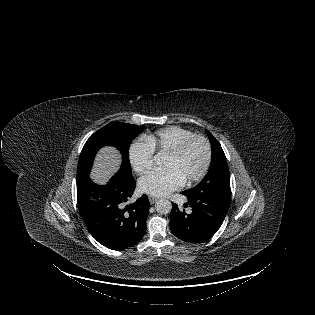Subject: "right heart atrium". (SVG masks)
Wrapping results in <instances>:
<instances>
[{"label":"right heart atrium","instance_id":"1","mask_svg":"<svg viewBox=\"0 0 315 315\" xmlns=\"http://www.w3.org/2000/svg\"><path fill=\"white\" fill-rule=\"evenodd\" d=\"M154 149L147 139L133 142L129 148V161L133 170L142 175L153 165Z\"/></svg>","mask_w":315,"mask_h":315}]
</instances>
